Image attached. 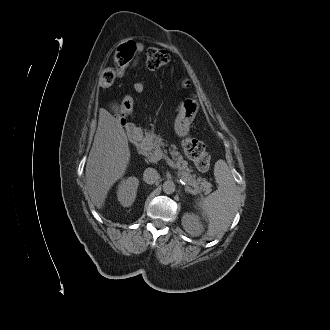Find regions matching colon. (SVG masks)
Returning <instances> with one entry per match:
<instances>
[{
  "label": "colon",
  "instance_id": "1",
  "mask_svg": "<svg viewBox=\"0 0 330 330\" xmlns=\"http://www.w3.org/2000/svg\"><path fill=\"white\" fill-rule=\"evenodd\" d=\"M135 43L133 41L126 42L119 46L113 55L114 67H107L101 72L100 84L103 87L111 85L119 68L127 66L135 55ZM170 61V54L160 48L152 47L146 51L145 62L148 69L155 70L166 66ZM134 100L129 94L121 99V108L125 110L123 115L131 113L133 110ZM183 149L186 156L192 160L196 168L200 172H206L210 167V156L207 153L204 144L196 139L186 138L183 140Z\"/></svg>",
  "mask_w": 330,
  "mask_h": 330
}]
</instances>
